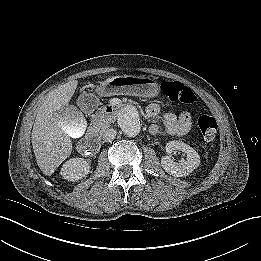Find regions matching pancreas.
I'll use <instances>...</instances> for the list:
<instances>
[{
	"instance_id": "cf45deb5",
	"label": "pancreas",
	"mask_w": 261,
	"mask_h": 261,
	"mask_svg": "<svg viewBox=\"0 0 261 261\" xmlns=\"http://www.w3.org/2000/svg\"><path fill=\"white\" fill-rule=\"evenodd\" d=\"M93 127L99 133H103L109 127V121L104 116L97 117L93 123Z\"/></svg>"
}]
</instances>
